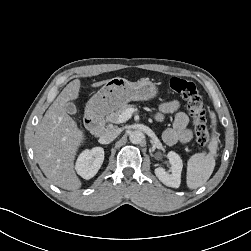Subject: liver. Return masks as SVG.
<instances>
[{"label":"liver","instance_id":"6515ba94","mask_svg":"<svg viewBox=\"0 0 251 251\" xmlns=\"http://www.w3.org/2000/svg\"><path fill=\"white\" fill-rule=\"evenodd\" d=\"M108 81L95 82L92 87ZM80 87V80L75 79L62 90L37 125L34 136V152L39 167L51 183L66 190L81 187L74 171V159L85 134L65 109L69 101L78 98Z\"/></svg>","mask_w":251,"mask_h":251}]
</instances>
